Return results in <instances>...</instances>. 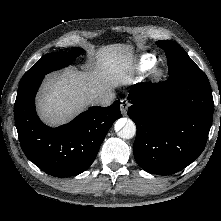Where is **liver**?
<instances>
[{
  "instance_id": "obj_1",
  "label": "liver",
  "mask_w": 221,
  "mask_h": 221,
  "mask_svg": "<svg viewBox=\"0 0 221 221\" xmlns=\"http://www.w3.org/2000/svg\"><path fill=\"white\" fill-rule=\"evenodd\" d=\"M98 63L92 71L67 69L46 79L37 99L42 120L56 126L94 104V99L113 91L127 78L133 64L130 47L107 45L97 54Z\"/></svg>"
}]
</instances>
